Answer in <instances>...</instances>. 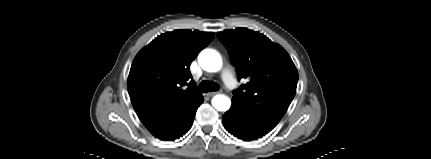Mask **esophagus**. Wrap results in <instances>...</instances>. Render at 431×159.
Here are the masks:
<instances>
[{
	"label": "esophagus",
	"mask_w": 431,
	"mask_h": 159,
	"mask_svg": "<svg viewBox=\"0 0 431 159\" xmlns=\"http://www.w3.org/2000/svg\"><path fill=\"white\" fill-rule=\"evenodd\" d=\"M218 92H208L207 94H206V96H208V97H212V96H214V95H216Z\"/></svg>",
	"instance_id": "esophagus-1"
}]
</instances>
